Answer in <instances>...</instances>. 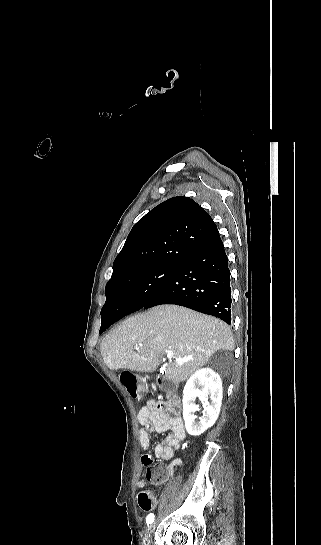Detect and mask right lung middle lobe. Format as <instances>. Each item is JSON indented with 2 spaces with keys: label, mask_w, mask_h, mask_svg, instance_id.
Segmentation results:
<instances>
[{
  "label": "right lung middle lobe",
  "mask_w": 321,
  "mask_h": 545,
  "mask_svg": "<svg viewBox=\"0 0 321 545\" xmlns=\"http://www.w3.org/2000/svg\"><path fill=\"white\" fill-rule=\"evenodd\" d=\"M181 265L159 264L148 268L130 271L119 275L106 286V303H119L127 309V314L141 309L176 274ZM101 328L107 324L101 315Z\"/></svg>",
  "instance_id": "obj_1"
}]
</instances>
